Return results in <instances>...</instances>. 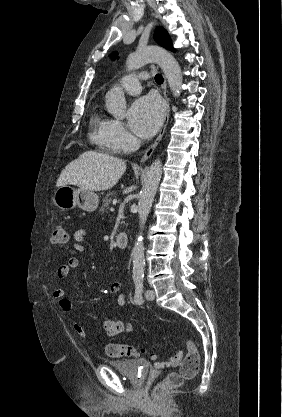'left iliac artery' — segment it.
Instances as JSON below:
<instances>
[{"label":"left iliac artery","mask_w":282,"mask_h":417,"mask_svg":"<svg viewBox=\"0 0 282 417\" xmlns=\"http://www.w3.org/2000/svg\"><path fill=\"white\" fill-rule=\"evenodd\" d=\"M142 292H143V279L138 278L135 280L134 302L136 304H141L143 302Z\"/></svg>","instance_id":"obj_1"}]
</instances>
